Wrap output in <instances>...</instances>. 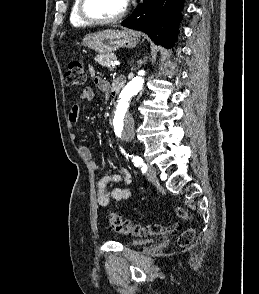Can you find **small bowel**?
Here are the masks:
<instances>
[{"mask_svg": "<svg viewBox=\"0 0 259 294\" xmlns=\"http://www.w3.org/2000/svg\"><path fill=\"white\" fill-rule=\"evenodd\" d=\"M91 75L94 77V83L96 87L105 94V98H108L110 92H113L109 82L102 77L95 76L94 70L90 69ZM94 89L92 87H85L80 95L78 101L72 106L68 119L71 123H75L78 120L80 110L85 102H89L94 98ZM75 137V135H73ZM79 151L89 160L94 170H99V165L93 158L90 148L86 145H81ZM131 181V174L127 170H123L120 173H114L101 177L97 183V202L100 206L106 207L111 200L122 201L130 197V190L122 187L110 188V184L125 185Z\"/></svg>", "mask_w": 259, "mask_h": 294, "instance_id": "obj_1", "label": "small bowel"}]
</instances>
